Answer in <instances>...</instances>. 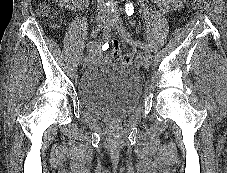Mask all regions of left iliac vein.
<instances>
[{
	"label": "left iliac vein",
	"mask_w": 227,
	"mask_h": 173,
	"mask_svg": "<svg viewBox=\"0 0 227 173\" xmlns=\"http://www.w3.org/2000/svg\"><path fill=\"white\" fill-rule=\"evenodd\" d=\"M109 25L112 26V27H115L116 26V31L117 33L124 39L128 42V39L131 38V33L122 25H118L116 24L115 22V15L114 17L112 16H109ZM150 62H151V58H149L148 56H145L142 61H141V66L144 68V69H148L149 66H150Z\"/></svg>",
	"instance_id": "4c4485c4"
}]
</instances>
